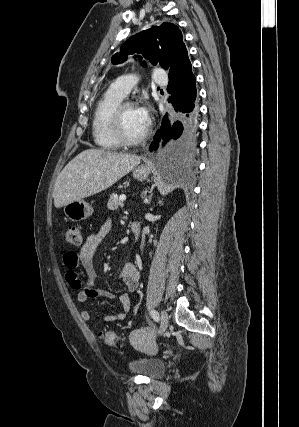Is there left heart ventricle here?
I'll use <instances>...</instances> for the list:
<instances>
[{
  "instance_id": "obj_1",
  "label": "left heart ventricle",
  "mask_w": 299,
  "mask_h": 427,
  "mask_svg": "<svg viewBox=\"0 0 299 427\" xmlns=\"http://www.w3.org/2000/svg\"><path fill=\"white\" fill-rule=\"evenodd\" d=\"M122 128L128 138L140 136L146 129L137 114L135 107H127L122 114Z\"/></svg>"
}]
</instances>
